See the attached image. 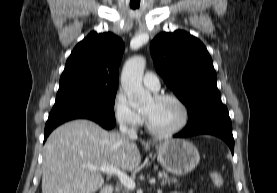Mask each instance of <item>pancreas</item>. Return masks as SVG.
Wrapping results in <instances>:
<instances>
[{"mask_svg":"<svg viewBox=\"0 0 277 193\" xmlns=\"http://www.w3.org/2000/svg\"><path fill=\"white\" fill-rule=\"evenodd\" d=\"M158 177L161 179V184L164 185L166 183L171 184L176 182V178L170 177L167 172L160 171L158 173ZM116 193H128V190L123 186H119L116 188Z\"/></svg>","mask_w":277,"mask_h":193,"instance_id":"1","label":"pancreas"}]
</instances>
